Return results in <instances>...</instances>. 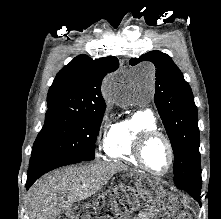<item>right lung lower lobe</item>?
I'll list each match as a JSON object with an SVG mask.
<instances>
[{
  "instance_id": "98d812e1",
  "label": "right lung lower lobe",
  "mask_w": 221,
  "mask_h": 219,
  "mask_svg": "<svg viewBox=\"0 0 221 219\" xmlns=\"http://www.w3.org/2000/svg\"><path fill=\"white\" fill-rule=\"evenodd\" d=\"M82 162L67 158L49 151H38L32 154L27 174L26 189L43 174L56 169L58 167Z\"/></svg>"
}]
</instances>
